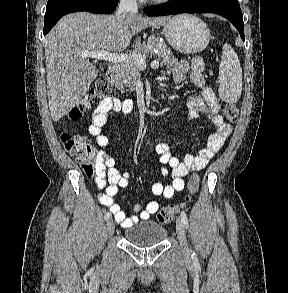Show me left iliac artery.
<instances>
[{"label":"left iliac artery","mask_w":288,"mask_h":293,"mask_svg":"<svg viewBox=\"0 0 288 293\" xmlns=\"http://www.w3.org/2000/svg\"><path fill=\"white\" fill-rule=\"evenodd\" d=\"M181 221L183 222V224L185 225V227H188V218L187 215L184 211L181 212ZM192 258L197 261L196 255L195 253L192 254Z\"/></svg>","instance_id":"left-iliac-artery-1"}]
</instances>
